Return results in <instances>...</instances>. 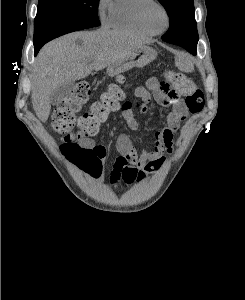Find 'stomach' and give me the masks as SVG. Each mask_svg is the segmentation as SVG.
<instances>
[{"label": "stomach", "instance_id": "obj_1", "mask_svg": "<svg viewBox=\"0 0 245 300\" xmlns=\"http://www.w3.org/2000/svg\"><path fill=\"white\" fill-rule=\"evenodd\" d=\"M157 56L156 50L143 46L135 49L126 57L107 67V74L111 77L120 75L134 67L142 68L151 63Z\"/></svg>", "mask_w": 245, "mask_h": 300}]
</instances>
